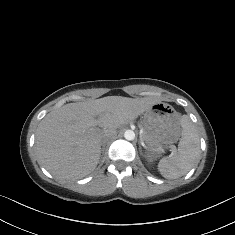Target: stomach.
Wrapping results in <instances>:
<instances>
[{
    "instance_id": "1",
    "label": "stomach",
    "mask_w": 235,
    "mask_h": 235,
    "mask_svg": "<svg viewBox=\"0 0 235 235\" xmlns=\"http://www.w3.org/2000/svg\"><path fill=\"white\" fill-rule=\"evenodd\" d=\"M141 124L147 137L146 155L148 162H153L168 150H175L173 143L182 134L181 114L173 106L159 102L143 113Z\"/></svg>"
}]
</instances>
